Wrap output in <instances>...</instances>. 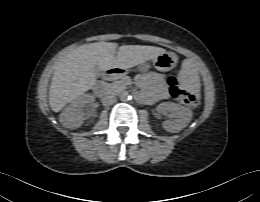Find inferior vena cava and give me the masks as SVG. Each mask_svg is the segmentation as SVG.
I'll return each mask as SVG.
<instances>
[{
    "label": "inferior vena cava",
    "instance_id": "obj_1",
    "mask_svg": "<svg viewBox=\"0 0 260 202\" xmlns=\"http://www.w3.org/2000/svg\"><path fill=\"white\" fill-rule=\"evenodd\" d=\"M117 102V98L115 95H112V94H109V95H105L103 98H102V103L105 105V106H109V105H112L114 103Z\"/></svg>",
    "mask_w": 260,
    "mask_h": 202
}]
</instances>
